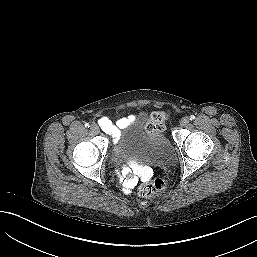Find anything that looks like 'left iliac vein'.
Listing matches in <instances>:
<instances>
[{
	"label": "left iliac vein",
	"mask_w": 257,
	"mask_h": 257,
	"mask_svg": "<svg viewBox=\"0 0 257 257\" xmlns=\"http://www.w3.org/2000/svg\"><path fill=\"white\" fill-rule=\"evenodd\" d=\"M189 122H190L189 117L185 116V117H183V118L181 119L180 125H181L182 127H185V126H187V125L189 124Z\"/></svg>",
	"instance_id": "1"
}]
</instances>
